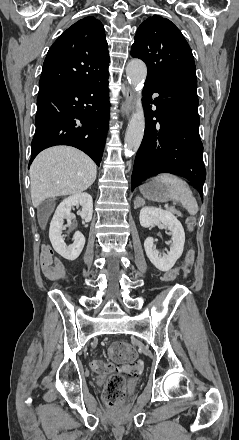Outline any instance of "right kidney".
I'll return each mask as SVG.
<instances>
[{
  "mask_svg": "<svg viewBox=\"0 0 239 440\" xmlns=\"http://www.w3.org/2000/svg\"><path fill=\"white\" fill-rule=\"evenodd\" d=\"M73 206H82L80 216L84 222H91L92 214H93V200L90 194H73V196H69V198H65L61 204H59L50 224L49 230V238L51 242H53V246L55 248L56 253H60L61 257H64L65 260H70L72 257L73 260H77L78 256H80L84 244L85 238L81 232H75L73 236V244H64V236H62V230H64L65 226L64 220L65 218H71V210Z\"/></svg>",
  "mask_w": 239,
  "mask_h": 440,
  "instance_id": "right-kidney-1",
  "label": "right kidney"
}]
</instances>
